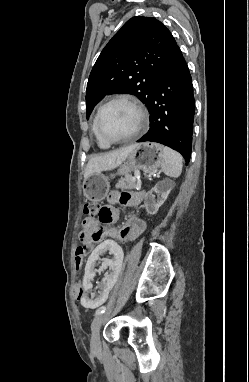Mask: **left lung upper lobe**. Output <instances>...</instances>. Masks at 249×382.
Returning <instances> with one entry per match:
<instances>
[{"label": "left lung upper lobe", "mask_w": 249, "mask_h": 382, "mask_svg": "<svg viewBox=\"0 0 249 382\" xmlns=\"http://www.w3.org/2000/svg\"><path fill=\"white\" fill-rule=\"evenodd\" d=\"M176 47L170 31L157 19L136 16L128 20L93 66L86 91L87 119L109 94H132L148 106Z\"/></svg>", "instance_id": "left-lung-upper-lobe-1"}]
</instances>
